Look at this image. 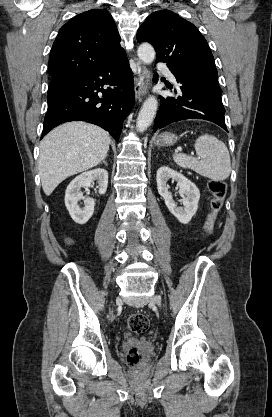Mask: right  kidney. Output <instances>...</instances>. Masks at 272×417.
I'll return each instance as SVG.
<instances>
[{"instance_id":"1","label":"right kidney","mask_w":272,"mask_h":417,"mask_svg":"<svg viewBox=\"0 0 272 417\" xmlns=\"http://www.w3.org/2000/svg\"><path fill=\"white\" fill-rule=\"evenodd\" d=\"M98 183L99 194H105L108 185V172L105 169H94L77 176L68 185L65 192V206L71 218L78 224H85L94 213L95 201L91 198L84 199V207L78 205V201L83 198L81 188H88L92 183Z\"/></svg>"}]
</instances>
